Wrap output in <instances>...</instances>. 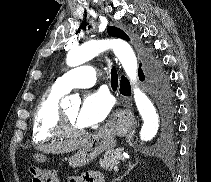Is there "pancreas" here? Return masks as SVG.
<instances>
[{"instance_id":"obj_1","label":"pancreas","mask_w":211,"mask_h":182,"mask_svg":"<svg viewBox=\"0 0 211 182\" xmlns=\"http://www.w3.org/2000/svg\"><path fill=\"white\" fill-rule=\"evenodd\" d=\"M119 160H124V157L122 155L121 149H111L108 150L103 159L100 160L101 167L105 169H111L114 165L118 163Z\"/></svg>"}]
</instances>
